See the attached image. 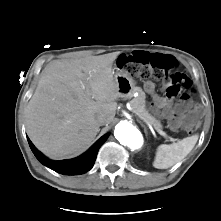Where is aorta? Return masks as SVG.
Returning <instances> with one entry per match:
<instances>
[{"label":"aorta","instance_id":"1","mask_svg":"<svg viewBox=\"0 0 221 221\" xmlns=\"http://www.w3.org/2000/svg\"><path fill=\"white\" fill-rule=\"evenodd\" d=\"M115 138L130 149H138L143 145L141 132L127 121H121L116 125Z\"/></svg>","mask_w":221,"mask_h":221}]
</instances>
